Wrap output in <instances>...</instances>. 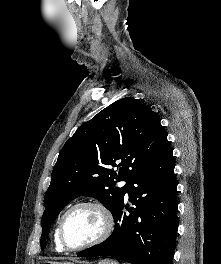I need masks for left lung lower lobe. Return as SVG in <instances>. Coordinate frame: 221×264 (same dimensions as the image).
Here are the masks:
<instances>
[{
    "instance_id": "1",
    "label": "left lung lower lobe",
    "mask_w": 221,
    "mask_h": 264,
    "mask_svg": "<svg viewBox=\"0 0 221 264\" xmlns=\"http://www.w3.org/2000/svg\"><path fill=\"white\" fill-rule=\"evenodd\" d=\"M125 193L135 208L125 205L123 197L112 213L115 228L111 236L77 256L105 255L132 264H173L178 202L168 140L155 159L128 183Z\"/></svg>"
}]
</instances>
